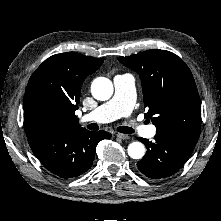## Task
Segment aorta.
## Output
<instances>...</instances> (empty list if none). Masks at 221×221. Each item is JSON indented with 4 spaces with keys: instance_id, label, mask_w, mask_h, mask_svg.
I'll use <instances>...</instances> for the list:
<instances>
[{
    "instance_id": "aorta-1",
    "label": "aorta",
    "mask_w": 221,
    "mask_h": 221,
    "mask_svg": "<svg viewBox=\"0 0 221 221\" xmlns=\"http://www.w3.org/2000/svg\"><path fill=\"white\" fill-rule=\"evenodd\" d=\"M91 93L97 100H108L113 94V84L108 78L98 77L92 82ZM127 151L131 158L141 159L145 154V147L141 142H132Z\"/></svg>"
}]
</instances>
